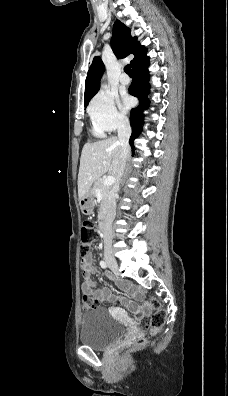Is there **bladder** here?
Segmentation results:
<instances>
[{"mask_svg":"<svg viewBox=\"0 0 228 396\" xmlns=\"http://www.w3.org/2000/svg\"><path fill=\"white\" fill-rule=\"evenodd\" d=\"M127 330L123 324L113 320L105 309L97 308L82 315L79 338L83 345L102 350L121 340Z\"/></svg>","mask_w":228,"mask_h":396,"instance_id":"bladder-1","label":"bladder"}]
</instances>
